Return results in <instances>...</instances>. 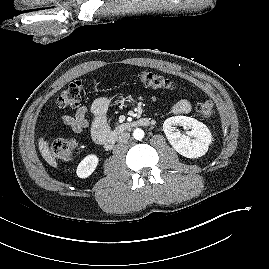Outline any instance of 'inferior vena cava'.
Returning <instances> with one entry per match:
<instances>
[{"instance_id": "1", "label": "inferior vena cava", "mask_w": 269, "mask_h": 269, "mask_svg": "<svg viewBox=\"0 0 269 269\" xmlns=\"http://www.w3.org/2000/svg\"><path fill=\"white\" fill-rule=\"evenodd\" d=\"M130 138V134L128 132H123L118 136V142L126 143Z\"/></svg>"}]
</instances>
